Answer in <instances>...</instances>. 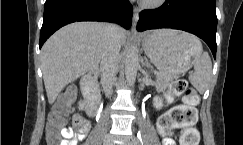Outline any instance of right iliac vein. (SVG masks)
Masks as SVG:
<instances>
[{
	"mask_svg": "<svg viewBox=\"0 0 243 145\" xmlns=\"http://www.w3.org/2000/svg\"><path fill=\"white\" fill-rule=\"evenodd\" d=\"M103 145H114L113 138L110 135L105 136Z\"/></svg>",
	"mask_w": 243,
	"mask_h": 145,
	"instance_id": "obj_1",
	"label": "right iliac vein"
}]
</instances>
